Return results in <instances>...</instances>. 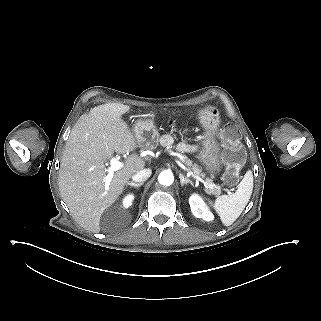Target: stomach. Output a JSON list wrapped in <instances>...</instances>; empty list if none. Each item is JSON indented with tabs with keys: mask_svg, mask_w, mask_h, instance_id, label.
Here are the masks:
<instances>
[{
	"mask_svg": "<svg viewBox=\"0 0 321 321\" xmlns=\"http://www.w3.org/2000/svg\"><path fill=\"white\" fill-rule=\"evenodd\" d=\"M200 121L207 130L205 141L203 142L202 152H215L218 148L214 143V137L217 135V128L220 124V115L218 111L205 110L200 115ZM134 136L136 146L144 150H154L158 146L159 132L153 118L140 119L134 127ZM211 172L219 169L217 161L210 163L207 167Z\"/></svg>",
	"mask_w": 321,
	"mask_h": 321,
	"instance_id": "1",
	"label": "stomach"
}]
</instances>
